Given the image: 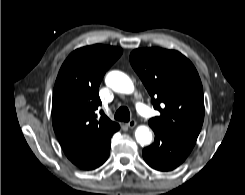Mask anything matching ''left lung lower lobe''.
Here are the masks:
<instances>
[{
    "mask_svg": "<svg viewBox=\"0 0 245 195\" xmlns=\"http://www.w3.org/2000/svg\"><path fill=\"white\" fill-rule=\"evenodd\" d=\"M155 143L143 150V158L153 169L171 171L178 167L193 149L194 140L169 130L154 129Z\"/></svg>",
    "mask_w": 245,
    "mask_h": 195,
    "instance_id": "1",
    "label": "left lung lower lobe"
}]
</instances>
